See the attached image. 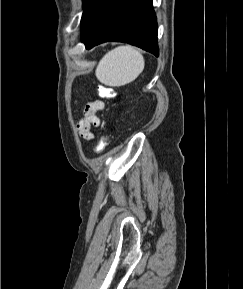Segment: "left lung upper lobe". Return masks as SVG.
<instances>
[{
  "label": "left lung upper lobe",
  "mask_w": 243,
  "mask_h": 289,
  "mask_svg": "<svg viewBox=\"0 0 243 289\" xmlns=\"http://www.w3.org/2000/svg\"><path fill=\"white\" fill-rule=\"evenodd\" d=\"M90 0H83V8L86 6V4L89 2Z\"/></svg>",
  "instance_id": "obj_1"
}]
</instances>
